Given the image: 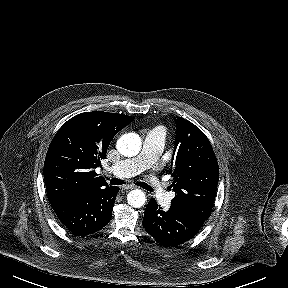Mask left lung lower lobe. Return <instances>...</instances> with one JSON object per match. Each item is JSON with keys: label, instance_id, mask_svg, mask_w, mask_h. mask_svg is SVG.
I'll return each mask as SVG.
<instances>
[{"label": "left lung lower lobe", "instance_id": "1", "mask_svg": "<svg viewBox=\"0 0 288 288\" xmlns=\"http://www.w3.org/2000/svg\"><path fill=\"white\" fill-rule=\"evenodd\" d=\"M204 222V219L173 206L164 210L152 198L144 213L143 227L158 242L173 247L194 237Z\"/></svg>", "mask_w": 288, "mask_h": 288}]
</instances>
